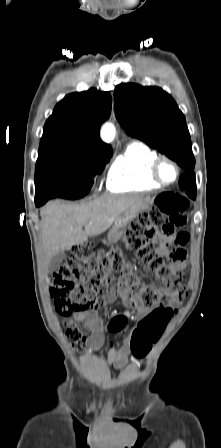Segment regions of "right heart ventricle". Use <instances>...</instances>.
<instances>
[{
  "label": "right heart ventricle",
  "instance_id": "1",
  "mask_svg": "<svg viewBox=\"0 0 221 448\" xmlns=\"http://www.w3.org/2000/svg\"><path fill=\"white\" fill-rule=\"evenodd\" d=\"M158 155L143 144H131L112 163L107 187L112 192L157 190L162 186L150 176L151 165Z\"/></svg>",
  "mask_w": 221,
  "mask_h": 448
}]
</instances>
